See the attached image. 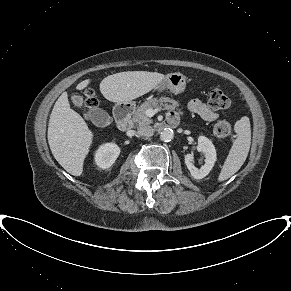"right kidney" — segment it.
<instances>
[{
    "label": "right kidney",
    "instance_id": "obj_1",
    "mask_svg": "<svg viewBox=\"0 0 291 291\" xmlns=\"http://www.w3.org/2000/svg\"><path fill=\"white\" fill-rule=\"evenodd\" d=\"M120 154V148L115 143L101 145L95 152V163L102 169L113 165Z\"/></svg>",
    "mask_w": 291,
    "mask_h": 291
}]
</instances>
